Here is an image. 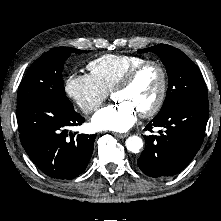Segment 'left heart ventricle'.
Listing matches in <instances>:
<instances>
[{
	"mask_svg": "<svg viewBox=\"0 0 221 221\" xmlns=\"http://www.w3.org/2000/svg\"><path fill=\"white\" fill-rule=\"evenodd\" d=\"M160 87V73L154 66L146 67L127 89L113 94L116 102L130 104L137 113L150 108L158 95Z\"/></svg>",
	"mask_w": 221,
	"mask_h": 221,
	"instance_id": "b2bd125f",
	"label": "left heart ventricle"
}]
</instances>
